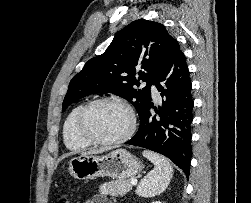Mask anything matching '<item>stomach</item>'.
I'll return each instance as SVG.
<instances>
[{
  "instance_id": "obj_1",
  "label": "stomach",
  "mask_w": 251,
  "mask_h": 203,
  "mask_svg": "<svg viewBox=\"0 0 251 203\" xmlns=\"http://www.w3.org/2000/svg\"><path fill=\"white\" fill-rule=\"evenodd\" d=\"M143 169L139 158L125 149H116L106 155H86L75 157L69 162L70 174L80 180L108 176L127 179Z\"/></svg>"
}]
</instances>
